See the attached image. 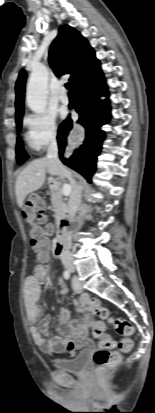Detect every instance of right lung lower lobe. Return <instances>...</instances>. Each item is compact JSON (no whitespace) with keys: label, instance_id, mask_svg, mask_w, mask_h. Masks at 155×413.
<instances>
[{"label":"right lung lower lobe","instance_id":"obj_1","mask_svg":"<svg viewBox=\"0 0 155 413\" xmlns=\"http://www.w3.org/2000/svg\"><path fill=\"white\" fill-rule=\"evenodd\" d=\"M78 107L76 109L79 116V123L86 129L84 144L75 150L69 159H64L62 153L66 146V137L72 128V120L67 118L59 127L58 145L61 160L70 168L82 174L88 182H91L92 175L96 170L97 156L101 152L102 142L105 134L100 127L107 123L110 118L109 101L100 100L99 97L107 96V86L103 73L100 72L85 81L74 89ZM106 112V114H101Z\"/></svg>","mask_w":155,"mask_h":413}]
</instances>
